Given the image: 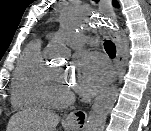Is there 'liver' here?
Returning a JSON list of instances; mask_svg holds the SVG:
<instances>
[{"label": "liver", "mask_w": 151, "mask_h": 131, "mask_svg": "<svg viewBox=\"0 0 151 131\" xmlns=\"http://www.w3.org/2000/svg\"><path fill=\"white\" fill-rule=\"evenodd\" d=\"M60 118L57 114L41 108H33L14 114L7 131H54Z\"/></svg>", "instance_id": "liver-1"}]
</instances>
